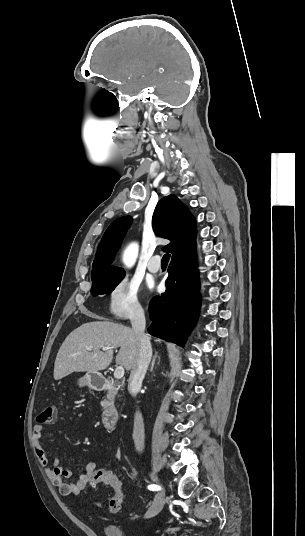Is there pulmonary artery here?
<instances>
[{"instance_id": "obj_1", "label": "pulmonary artery", "mask_w": 305, "mask_h": 536, "mask_svg": "<svg viewBox=\"0 0 305 536\" xmlns=\"http://www.w3.org/2000/svg\"><path fill=\"white\" fill-rule=\"evenodd\" d=\"M150 262L148 263V269L152 273H156L160 270L161 266L159 264L161 257L159 254L154 253L150 257Z\"/></svg>"}]
</instances>
